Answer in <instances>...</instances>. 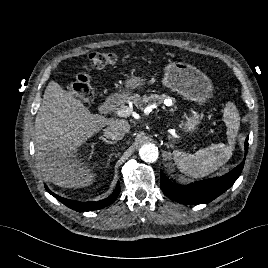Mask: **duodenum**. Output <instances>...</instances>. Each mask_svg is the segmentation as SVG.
Masks as SVG:
<instances>
[{
  "label": "duodenum",
  "mask_w": 268,
  "mask_h": 268,
  "mask_svg": "<svg viewBox=\"0 0 268 268\" xmlns=\"http://www.w3.org/2000/svg\"><path fill=\"white\" fill-rule=\"evenodd\" d=\"M120 97L117 94L110 95L101 106L103 113H109L120 105Z\"/></svg>",
  "instance_id": "410a0bca"
}]
</instances>
